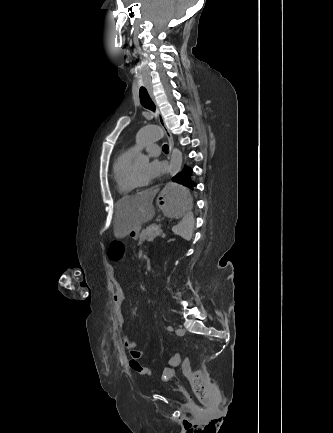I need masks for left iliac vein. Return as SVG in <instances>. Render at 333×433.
Listing matches in <instances>:
<instances>
[{
	"instance_id": "4c4485c4",
	"label": "left iliac vein",
	"mask_w": 333,
	"mask_h": 433,
	"mask_svg": "<svg viewBox=\"0 0 333 433\" xmlns=\"http://www.w3.org/2000/svg\"><path fill=\"white\" fill-rule=\"evenodd\" d=\"M176 334L179 336H183L185 334V330L183 328H178L176 330Z\"/></svg>"
}]
</instances>
